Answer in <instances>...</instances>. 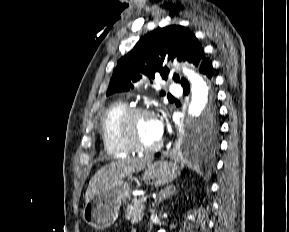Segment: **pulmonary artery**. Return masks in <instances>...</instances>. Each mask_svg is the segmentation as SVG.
Listing matches in <instances>:
<instances>
[{
	"mask_svg": "<svg viewBox=\"0 0 289 232\" xmlns=\"http://www.w3.org/2000/svg\"><path fill=\"white\" fill-rule=\"evenodd\" d=\"M169 91L172 94L179 95L182 92V87L178 83L172 82L169 85Z\"/></svg>",
	"mask_w": 289,
	"mask_h": 232,
	"instance_id": "1",
	"label": "pulmonary artery"
}]
</instances>
